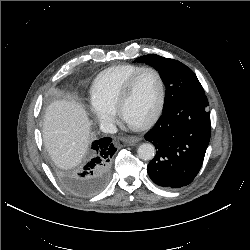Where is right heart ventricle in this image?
<instances>
[{
  "label": "right heart ventricle",
  "instance_id": "e07e8e85",
  "mask_svg": "<svg viewBox=\"0 0 250 250\" xmlns=\"http://www.w3.org/2000/svg\"><path fill=\"white\" fill-rule=\"evenodd\" d=\"M140 68L142 67L138 65L124 64L100 72L90 88L91 101L113 110L123 86Z\"/></svg>",
  "mask_w": 250,
  "mask_h": 250
}]
</instances>
